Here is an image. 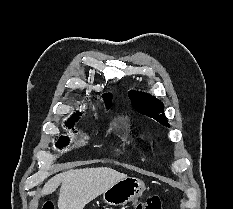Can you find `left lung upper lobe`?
<instances>
[{
  "instance_id": "left-lung-upper-lobe-1",
  "label": "left lung upper lobe",
  "mask_w": 233,
  "mask_h": 209,
  "mask_svg": "<svg viewBox=\"0 0 233 209\" xmlns=\"http://www.w3.org/2000/svg\"><path fill=\"white\" fill-rule=\"evenodd\" d=\"M129 97L133 105L141 114L154 118L161 124L169 127L168 121L164 114H162V116H158V113L164 110V105L160 102V100L147 93L144 94L136 91H130Z\"/></svg>"
}]
</instances>
